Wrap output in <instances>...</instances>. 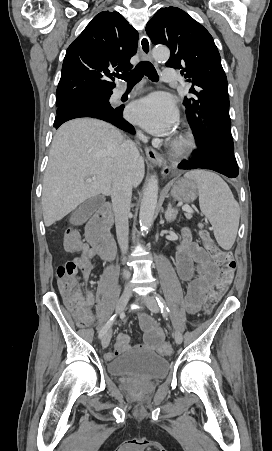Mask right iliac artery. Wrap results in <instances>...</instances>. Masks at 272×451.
<instances>
[{"label": "right iliac artery", "instance_id": "1", "mask_svg": "<svg viewBox=\"0 0 272 451\" xmlns=\"http://www.w3.org/2000/svg\"><path fill=\"white\" fill-rule=\"evenodd\" d=\"M116 319V315H113L106 323V325L102 328V330L99 333V337L102 338V336L107 332V330L112 326Z\"/></svg>", "mask_w": 272, "mask_h": 451}]
</instances>
